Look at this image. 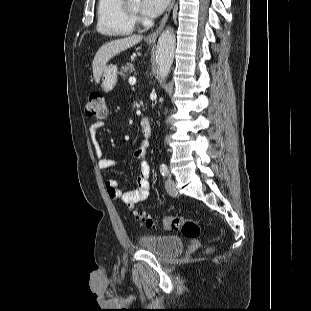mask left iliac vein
<instances>
[{"label":"left iliac vein","instance_id":"1","mask_svg":"<svg viewBox=\"0 0 311 311\" xmlns=\"http://www.w3.org/2000/svg\"><path fill=\"white\" fill-rule=\"evenodd\" d=\"M165 189L167 193L173 197H176L178 195L175 183L170 177H168L165 181Z\"/></svg>","mask_w":311,"mask_h":311}]
</instances>
